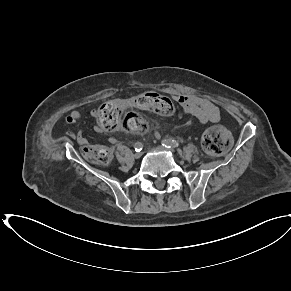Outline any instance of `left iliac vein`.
Returning a JSON list of instances; mask_svg holds the SVG:
<instances>
[{
  "label": "left iliac vein",
  "mask_w": 291,
  "mask_h": 291,
  "mask_svg": "<svg viewBox=\"0 0 291 291\" xmlns=\"http://www.w3.org/2000/svg\"><path fill=\"white\" fill-rule=\"evenodd\" d=\"M154 150H156V151H170V152L174 153L173 149H168V148L163 147V146L155 147Z\"/></svg>",
  "instance_id": "obj_1"
}]
</instances>
